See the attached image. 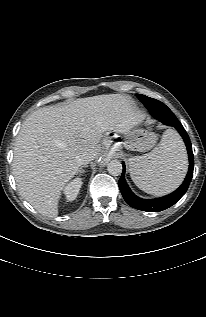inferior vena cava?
<instances>
[{
  "instance_id": "1",
  "label": "inferior vena cava",
  "mask_w": 206,
  "mask_h": 317,
  "mask_svg": "<svg viewBox=\"0 0 206 317\" xmlns=\"http://www.w3.org/2000/svg\"><path fill=\"white\" fill-rule=\"evenodd\" d=\"M94 158H95V154L89 153V152H85V153L79 154V156L77 157V162L80 165H86L90 161H92Z\"/></svg>"
}]
</instances>
